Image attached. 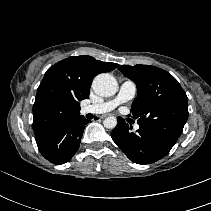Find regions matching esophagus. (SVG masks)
I'll use <instances>...</instances> for the list:
<instances>
[{
  "label": "esophagus",
  "mask_w": 211,
  "mask_h": 211,
  "mask_svg": "<svg viewBox=\"0 0 211 211\" xmlns=\"http://www.w3.org/2000/svg\"><path fill=\"white\" fill-rule=\"evenodd\" d=\"M108 115L107 114H104V115H102L100 118H106Z\"/></svg>",
  "instance_id": "34e87169"
}]
</instances>
